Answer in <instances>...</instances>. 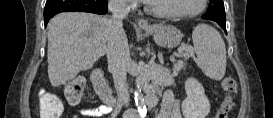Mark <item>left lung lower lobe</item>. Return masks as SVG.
Here are the masks:
<instances>
[{
  "instance_id": "obj_1",
  "label": "left lung lower lobe",
  "mask_w": 273,
  "mask_h": 118,
  "mask_svg": "<svg viewBox=\"0 0 273 118\" xmlns=\"http://www.w3.org/2000/svg\"><path fill=\"white\" fill-rule=\"evenodd\" d=\"M223 29H224V31H225V33H227L226 32V22H217Z\"/></svg>"
}]
</instances>
